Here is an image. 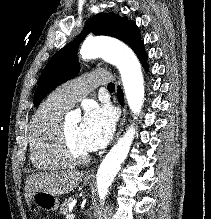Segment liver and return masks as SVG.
Wrapping results in <instances>:
<instances>
[{
    "mask_svg": "<svg viewBox=\"0 0 211 219\" xmlns=\"http://www.w3.org/2000/svg\"><path fill=\"white\" fill-rule=\"evenodd\" d=\"M82 178L83 172L76 170L31 174L26 179V201L29 203L32 195L39 191L55 195L68 194L76 188Z\"/></svg>",
    "mask_w": 211,
    "mask_h": 219,
    "instance_id": "obj_1",
    "label": "liver"
}]
</instances>
